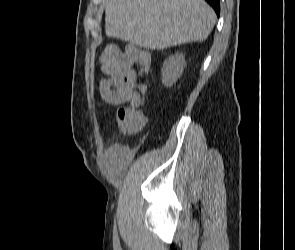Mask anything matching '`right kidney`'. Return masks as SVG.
<instances>
[{
	"instance_id": "1",
	"label": "right kidney",
	"mask_w": 295,
	"mask_h": 250,
	"mask_svg": "<svg viewBox=\"0 0 295 250\" xmlns=\"http://www.w3.org/2000/svg\"><path fill=\"white\" fill-rule=\"evenodd\" d=\"M186 66L185 58L182 54H175L167 58L163 63L162 83L166 87H171L182 74Z\"/></svg>"
}]
</instances>
